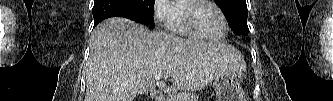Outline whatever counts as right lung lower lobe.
Segmentation results:
<instances>
[{"label":"right lung lower lobe","instance_id":"98d812e1","mask_svg":"<svg viewBox=\"0 0 333 101\" xmlns=\"http://www.w3.org/2000/svg\"><path fill=\"white\" fill-rule=\"evenodd\" d=\"M92 13L94 17V27L102 20L116 16L144 23L139 11L130 0H94Z\"/></svg>","mask_w":333,"mask_h":101}]
</instances>
